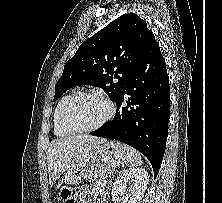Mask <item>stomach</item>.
<instances>
[{
  "mask_svg": "<svg viewBox=\"0 0 222 203\" xmlns=\"http://www.w3.org/2000/svg\"><path fill=\"white\" fill-rule=\"evenodd\" d=\"M125 147L117 141H108L90 152L80 162H75L68 170L63 181L68 185L81 183L100 161H117L125 158Z\"/></svg>",
  "mask_w": 222,
  "mask_h": 203,
  "instance_id": "obj_1",
  "label": "stomach"
}]
</instances>
